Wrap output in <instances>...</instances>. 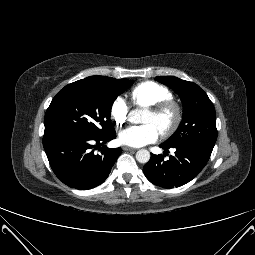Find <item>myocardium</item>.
I'll list each match as a JSON object with an SVG mask.
<instances>
[{
	"mask_svg": "<svg viewBox=\"0 0 255 255\" xmlns=\"http://www.w3.org/2000/svg\"><path fill=\"white\" fill-rule=\"evenodd\" d=\"M148 110L156 115H164L167 113L171 114L172 118L170 122L161 130V134L163 136H169L173 134L179 127L183 118L182 107L179 102L173 98L152 104L148 106Z\"/></svg>",
	"mask_w": 255,
	"mask_h": 255,
	"instance_id": "1",
	"label": "myocardium"
}]
</instances>
